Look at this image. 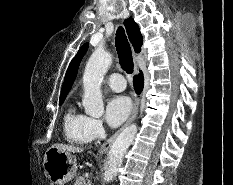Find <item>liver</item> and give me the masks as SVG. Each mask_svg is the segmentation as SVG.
<instances>
[{"mask_svg":"<svg viewBox=\"0 0 233 185\" xmlns=\"http://www.w3.org/2000/svg\"><path fill=\"white\" fill-rule=\"evenodd\" d=\"M53 147L61 150V151H67L69 153H81L83 152V149L82 148H79V147H75V146H72V145H66V144H59V143H56L53 145Z\"/></svg>","mask_w":233,"mask_h":185,"instance_id":"obj_1","label":"liver"}]
</instances>
